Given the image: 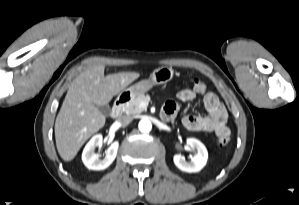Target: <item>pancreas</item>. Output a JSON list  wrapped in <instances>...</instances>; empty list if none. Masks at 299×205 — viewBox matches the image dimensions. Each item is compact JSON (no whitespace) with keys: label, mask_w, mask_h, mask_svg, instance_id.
Returning a JSON list of instances; mask_svg holds the SVG:
<instances>
[{"label":"pancreas","mask_w":299,"mask_h":205,"mask_svg":"<svg viewBox=\"0 0 299 205\" xmlns=\"http://www.w3.org/2000/svg\"><path fill=\"white\" fill-rule=\"evenodd\" d=\"M149 101H150L149 95L140 94L137 97H135L133 100H131L128 104H126L123 107V111L129 116L140 114L145 110L144 107H140V104L142 102L149 103Z\"/></svg>","instance_id":"cf45deb5"}]
</instances>
